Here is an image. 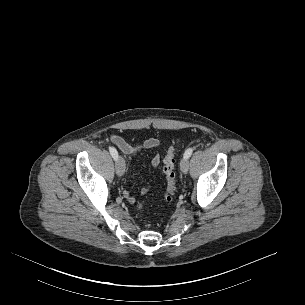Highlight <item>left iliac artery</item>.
I'll return each mask as SVG.
<instances>
[{
	"label": "left iliac artery",
	"mask_w": 305,
	"mask_h": 305,
	"mask_svg": "<svg viewBox=\"0 0 305 305\" xmlns=\"http://www.w3.org/2000/svg\"><path fill=\"white\" fill-rule=\"evenodd\" d=\"M193 152V148H188L184 153V158H189Z\"/></svg>",
	"instance_id": "1"
}]
</instances>
